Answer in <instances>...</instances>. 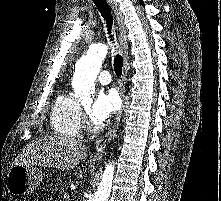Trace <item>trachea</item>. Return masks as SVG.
I'll return each instance as SVG.
<instances>
[{"label":"trachea","instance_id":"trachea-1","mask_svg":"<svg viewBox=\"0 0 221 201\" xmlns=\"http://www.w3.org/2000/svg\"><path fill=\"white\" fill-rule=\"evenodd\" d=\"M93 2L106 22L110 41H113L114 40L112 35L113 17L106 0H93ZM122 67H123V59L119 54H116L114 57V70L118 76L122 75Z\"/></svg>","mask_w":221,"mask_h":201}]
</instances>
